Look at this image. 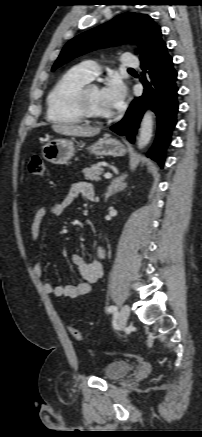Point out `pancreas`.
<instances>
[{
  "mask_svg": "<svg viewBox=\"0 0 202 437\" xmlns=\"http://www.w3.org/2000/svg\"><path fill=\"white\" fill-rule=\"evenodd\" d=\"M101 163L93 164L90 168H85L82 172L86 180L99 181L103 173Z\"/></svg>",
  "mask_w": 202,
  "mask_h": 437,
  "instance_id": "obj_1",
  "label": "pancreas"
}]
</instances>
